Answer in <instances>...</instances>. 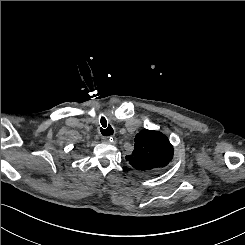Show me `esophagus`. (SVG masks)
<instances>
[{
  "mask_svg": "<svg viewBox=\"0 0 245 245\" xmlns=\"http://www.w3.org/2000/svg\"><path fill=\"white\" fill-rule=\"evenodd\" d=\"M111 137H102L101 138V141L103 142V143H109L110 141H111Z\"/></svg>",
  "mask_w": 245,
  "mask_h": 245,
  "instance_id": "obj_1",
  "label": "esophagus"
}]
</instances>
